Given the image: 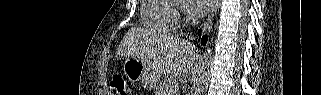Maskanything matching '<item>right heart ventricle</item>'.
<instances>
[{
    "instance_id": "e07e8e85",
    "label": "right heart ventricle",
    "mask_w": 321,
    "mask_h": 95,
    "mask_svg": "<svg viewBox=\"0 0 321 95\" xmlns=\"http://www.w3.org/2000/svg\"><path fill=\"white\" fill-rule=\"evenodd\" d=\"M143 25L154 32L170 33L176 28V1L144 0L141 7Z\"/></svg>"
}]
</instances>
